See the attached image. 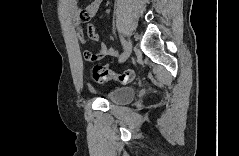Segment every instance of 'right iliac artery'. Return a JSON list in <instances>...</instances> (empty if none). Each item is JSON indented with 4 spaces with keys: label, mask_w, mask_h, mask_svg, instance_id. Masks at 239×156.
Returning a JSON list of instances; mask_svg holds the SVG:
<instances>
[{
    "label": "right iliac artery",
    "mask_w": 239,
    "mask_h": 156,
    "mask_svg": "<svg viewBox=\"0 0 239 156\" xmlns=\"http://www.w3.org/2000/svg\"><path fill=\"white\" fill-rule=\"evenodd\" d=\"M120 41H121V44L123 46V49H125L127 42L123 38H120Z\"/></svg>",
    "instance_id": "82829eb1"
}]
</instances>
